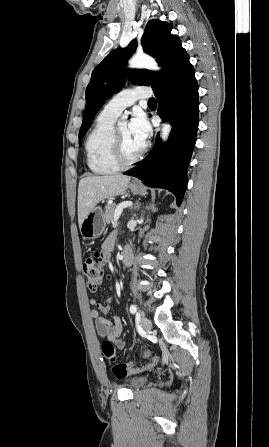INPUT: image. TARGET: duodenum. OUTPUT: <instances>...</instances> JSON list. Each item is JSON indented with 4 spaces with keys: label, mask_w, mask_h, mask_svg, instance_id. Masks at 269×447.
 Wrapping results in <instances>:
<instances>
[{
    "label": "duodenum",
    "mask_w": 269,
    "mask_h": 447,
    "mask_svg": "<svg viewBox=\"0 0 269 447\" xmlns=\"http://www.w3.org/2000/svg\"><path fill=\"white\" fill-rule=\"evenodd\" d=\"M133 262V254L131 250L125 249L122 254V266L123 268H128L132 265Z\"/></svg>",
    "instance_id": "duodenum-1"
}]
</instances>
